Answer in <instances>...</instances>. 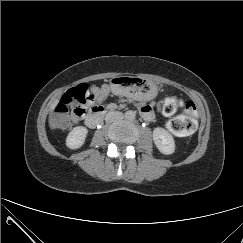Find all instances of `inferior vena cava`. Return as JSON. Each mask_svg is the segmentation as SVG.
<instances>
[{"label": "inferior vena cava", "mask_w": 243, "mask_h": 243, "mask_svg": "<svg viewBox=\"0 0 243 243\" xmlns=\"http://www.w3.org/2000/svg\"><path fill=\"white\" fill-rule=\"evenodd\" d=\"M123 114L121 112H109L106 114L105 121L111 123L115 120L122 119Z\"/></svg>", "instance_id": "inferior-vena-cava-1"}]
</instances>
